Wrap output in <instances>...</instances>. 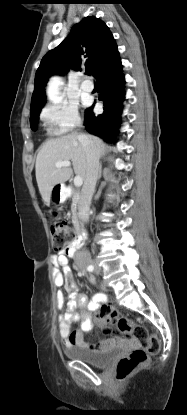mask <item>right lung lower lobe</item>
<instances>
[{"instance_id": "1", "label": "right lung lower lobe", "mask_w": 187, "mask_h": 415, "mask_svg": "<svg viewBox=\"0 0 187 415\" xmlns=\"http://www.w3.org/2000/svg\"><path fill=\"white\" fill-rule=\"evenodd\" d=\"M95 78L101 89L99 100L104 102V112L95 116L92 105L86 110L84 125L88 132L112 143L119 132L122 102L125 98V79L119 53Z\"/></svg>"}]
</instances>
